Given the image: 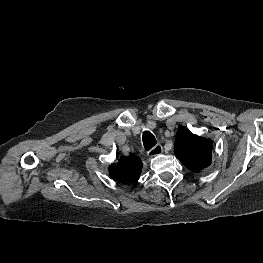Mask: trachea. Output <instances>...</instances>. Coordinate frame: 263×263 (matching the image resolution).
<instances>
[{
  "instance_id": "3493384b",
  "label": "trachea",
  "mask_w": 263,
  "mask_h": 263,
  "mask_svg": "<svg viewBox=\"0 0 263 263\" xmlns=\"http://www.w3.org/2000/svg\"><path fill=\"white\" fill-rule=\"evenodd\" d=\"M142 140H143L144 148L147 151L152 149L157 144V141H156L154 135L149 131L143 132Z\"/></svg>"
}]
</instances>
